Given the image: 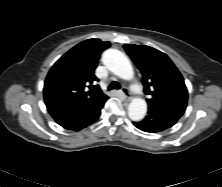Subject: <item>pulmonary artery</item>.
<instances>
[{
    "label": "pulmonary artery",
    "instance_id": "obj_1",
    "mask_svg": "<svg viewBox=\"0 0 222 187\" xmlns=\"http://www.w3.org/2000/svg\"><path fill=\"white\" fill-rule=\"evenodd\" d=\"M131 91L135 94V95H140L142 94L141 88L139 87L138 84H134L131 86Z\"/></svg>",
    "mask_w": 222,
    "mask_h": 187
}]
</instances>
